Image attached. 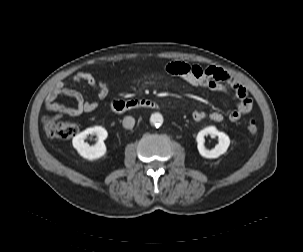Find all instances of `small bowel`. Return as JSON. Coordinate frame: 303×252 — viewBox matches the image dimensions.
<instances>
[{"instance_id":"obj_1","label":"small bowel","mask_w":303,"mask_h":252,"mask_svg":"<svg viewBox=\"0 0 303 252\" xmlns=\"http://www.w3.org/2000/svg\"><path fill=\"white\" fill-rule=\"evenodd\" d=\"M165 69L169 74L179 77L191 86L202 87L216 92H231L236 99V108L229 114V119L232 122L238 121L252 109L253 102L248 90L223 71L184 62H169L166 64ZM71 82L86 83L95 91V97L89 100L85 99L80 92L69 88ZM58 94H66L73 97L77 101V106L66 107L63 104L53 102ZM109 94L110 85L107 82L95 78L90 73L79 71L70 78L57 82L50 90L45 105L47 110L56 112L53 119H59L63 115L77 117L82 113L94 111L102 106L107 101ZM115 102L117 100H114L112 105ZM192 119L195 122H202L205 119L221 122L224 116L218 111L206 113L201 110H195L192 112Z\"/></svg>"}]
</instances>
